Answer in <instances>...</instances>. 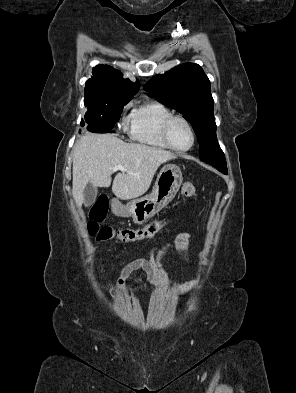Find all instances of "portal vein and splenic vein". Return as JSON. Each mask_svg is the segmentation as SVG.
Masks as SVG:
<instances>
[{
	"label": "portal vein and splenic vein",
	"mask_w": 296,
	"mask_h": 393,
	"mask_svg": "<svg viewBox=\"0 0 296 393\" xmlns=\"http://www.w3.org/2000/svg\"><path fill=\"white\" fill-rule=\"evenodd\" d=\"M118 170H124V167L121 164H119L113 168V171H118Z\"/></svg>",
	"instance_id": "18ae733b"
}]
</instances>
